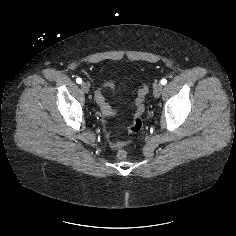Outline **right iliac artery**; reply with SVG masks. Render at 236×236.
<instances>
[{
    "instance_id": "1",
    "label": "right iliac artery",
    "mask_w": 236,
    "mask_h": 236,
    "mask_svg": "<svg viewBox=\"0 0 236 236\" xmlns=\"http://www.w3.org/2000/svg\"><path fill=\"white\" fill-rule=\"evenodd\" d=\"M76 82H77L78 84H81V83H82V79H81V78H77V79H76Z\"/></svg>"
}]
</instances>
